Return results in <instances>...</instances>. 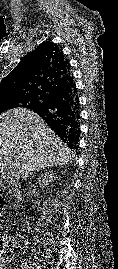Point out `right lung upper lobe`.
<instances>
[{
  "instance_id": "1",
  "label": "right lung upper lobe",
  "mask_w": 118,
  "mask_h": 269,
  "mask_svg": "<svg viewBox=\"0 0 118 269\" xmlns=\"http://www.w3.org/2000/svg\"><path fill=\"white\" fill-rule=\"evenodd\" d=\"M73 83L70 64L63 51L56 44L46 41L26 54L3 79L0 100L30 97L37 103L31 109L45 104L54 94ZM45 122L50 126L47 120Z\"/></svg>"
}]
</instances>
